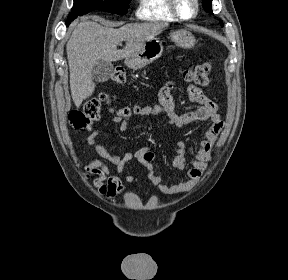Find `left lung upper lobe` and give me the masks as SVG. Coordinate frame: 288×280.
<instances>
[{
  "label": "left lung upper lobe",
  "mask_w": 288,
  "mask_h": 280,
  "mask_svg": "<svg viewBox=\"0 0 288 280\" xmlns=\"http://www.w3.org/2000/svg\"><path fill=\"white\" fill-rule=\"evenodd\" d=\"M211 3H212V0H203L202 1L203 8L205 9V11H207L209 13H213L212 8H211ZM220 25L223 26L222 21H220Z\"/></svg>",
  "instance_id": "obj_1"
}]
</instances>
